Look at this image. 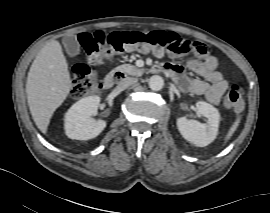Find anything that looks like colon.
<instances>
[{
	"label": "colon",
	"mask_w": 270,
	"mask_h": 213,
	"mask_svg": "<svg viewBox=\"0 0 270 213\" xmlns=\"http://www.w3.org/2000/svg\"><path fill=\"white\" fill-rule=\"evenodd\" d=\"M78 41L87 53L90 65H96L123 51H140L156 56L166 50L171 54L194 52L198 56L207 53L206 45L199 41L184 39L173 32L132 31L128 33L106 34L102 31L84 32ZM102 86L93 68L79 65L73 69L71 94L74 98H83L98 91ZM244 101V89L240 84H232L226 92L222 106L225 109H241Z\"/></svg>",
	"instance_id": "1"
}]
</instances>
